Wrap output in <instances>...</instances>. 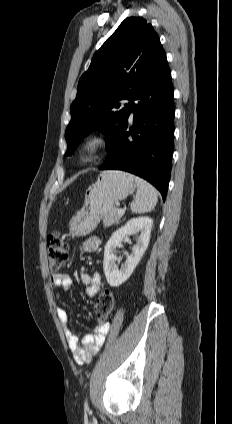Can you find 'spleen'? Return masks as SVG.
<instances>
[{
  "mask_svg": "<svg viewBox=\"0 0 232 424\" xmlns=\"http://www.w3.org/2000/svg\"><path fill=\"white\" fill-rule=\"evenodd\" d=\"M137 192L130 208L133 213H146L154 209L158 201L156 189L147 181L140 177H134Z\"/></svg>",
  "mask_w": 232,
  "mask_h": 424,
  "instance_id": "1",
  "label": "spleen"
}]
</instances>
